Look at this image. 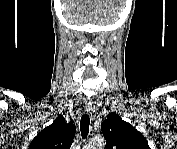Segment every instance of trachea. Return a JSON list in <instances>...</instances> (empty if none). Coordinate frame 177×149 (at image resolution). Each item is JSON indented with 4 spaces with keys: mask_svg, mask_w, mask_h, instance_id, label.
<instances>
[{
    "mask_svg": "<svg viewBox=\"0 0 177 149\" xmlns=\"http://www.w3.org/2000/svg\"><path fill=\"white\" fill-rule=\"evenodd\" d=\"M90 118L89 115L84 114L80 120V131L83 138H86L89 133Z\"/></svg>",
    "mask_w": 177,
    "mask_h": 149,
    "instance_id": "obj_1",
    "label": "trachea"
}]
</instances>
